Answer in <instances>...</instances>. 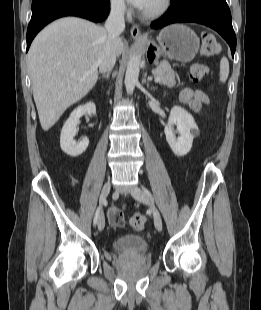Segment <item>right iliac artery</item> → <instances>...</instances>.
Returning <instances> with one entry per match:
<instances>
[{"mask_svg":"<svg viewBox=\"0 0 261 310\" xmlns=\"http://www.w3.org/2000/svg\"><path fill=\"white\" fill-rule=\"evenodd\" d=\"M100 210H101V206H99L96 210V213H95V217H94V225L97 224V221H98V217H99V214H100Z\"/></svg>","mask_w":261,"mask_h":310,"instance_id":"1","label":"right iliac artery"}]
</instances>
